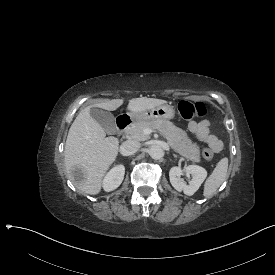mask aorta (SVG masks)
I'll list each match as a JSON object with an SVG mask.
<instances>
[{
    "mask_svg": "<svg viewBox=\"0 0 275 275\" xmlns=\"http://www.w3.org/2000/svg\"><path fill=\"white\" fill-rule=\"evenodd\" d=\"M149 155L153 159L158 160L164 156V152H163V149L159 145H152L149 149Z\"/></svg>",
    "mask_w": 275,
    "mask_h": 275,
    "instance_id": "obj_1",
    "label": "aorta"
}]
</instances>
